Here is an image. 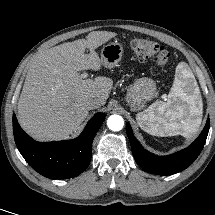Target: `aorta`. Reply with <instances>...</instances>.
Here are the masks:
<instances>
[{
	"mask_svg": "<svg viewBox=\"0 0 215 215\" xmlns=\"http://www.w3.org/2000/svg\"><path fill=\"white\" fill-rule=\"evenodd\" d=\"M107 126L112 131H119L124 126V120L120 115H111L107 120Z\"/></svg>",
	"mask_w": 215,
	"mask_h": 215,
	"instance_id": "obj_1",
	"label": "aorta"
}]
</instances>
